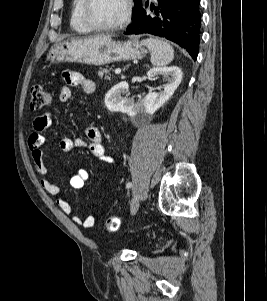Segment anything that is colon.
<instances>
[{
	"label": "colon",
	"mask_w": 267,
	"mask_h": 301,
	"mask_svg": "<svg viewBox=\"0 0 267 301\" xmlns=\"http://www.w3.org/2000/svg\"><path fill=\"white\" fill-rule=\"evenodd\" d=\"M52 102L51 92L42 85H35L31 89L30 107L33 110L41 109ZM120 219L116 216L109 217L105 222V227L109 232H115L119 229Z\"/></svg>",
	"instance_id": "obj_1"
}]
</instances>
